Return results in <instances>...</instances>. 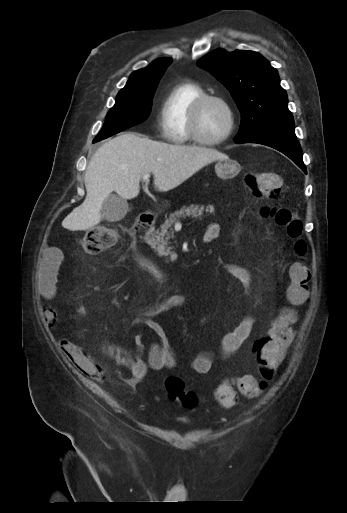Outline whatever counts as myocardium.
<instances>
[{
    "mask_svg": "<svg viewBox=\"0 0 347 513\" xmlns=\"http://www.w3.org/2000/svg\"><path fill=\"white\" fill-rule=\"evenodd\" d=\"M210 101L220 103L227 111L229 123L225 133L215 139L204 138L199 130V121L204 105ZM236 126V115L231 103L224 97L216 94L205 93L192 104L188 116V130L192 141L204 146H217L225 142L233 134Z\"/></svg>",
    "mask_w": 347,
    "mask_h": 513,
    "instance_id": "f54148a6",
    "label": "myocardium"
}]
</instances>
